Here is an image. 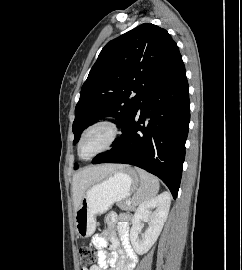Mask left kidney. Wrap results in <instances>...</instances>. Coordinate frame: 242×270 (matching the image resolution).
Masks as SVG:
<instances>
[{"instance_id": "obj_1", "label": "left kidney", "mask_w": 242, "mask_h": 270, "mask_svg": "<svg viewBox=\"0 0 242 270\" xmlns=\"http://www.w3.org/2000/svg\"><path fill=\"white\" fill-rule=\"evenodd\" d=\"M170 204V194L163 192L157 197L141 203L137 208L132 220L130 240L133 249L139 255L147 253L157 240L167 219ZM154 208L156 209L152 212L151 209ZM143 222H148L149 227L144 233H141Z\"/></svg>"}]
</instances>
